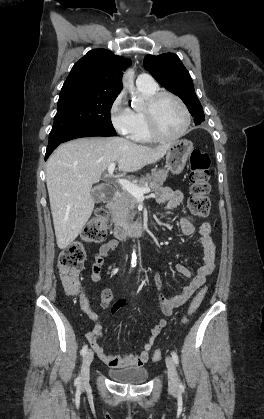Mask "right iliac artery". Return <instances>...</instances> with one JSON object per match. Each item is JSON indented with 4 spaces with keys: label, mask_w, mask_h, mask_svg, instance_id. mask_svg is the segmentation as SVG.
Here are the masks:
<instances>
[{
    "label": "right iliac artery",
    "mask_w": 264,
    "mask_h": 419,
    "mask_svg": "<svg viewBox=\"0 0 264 419\" xmlns=\"http://www.w3.org/2000/svg\"><path fill=\"white\" fill-rule=\"evenodd\" d=\"M87 350H88V346L87 345H84L83 346V348H82V350H81V355L82 356H84L86 353H87ZM75 383L77 384V385H79L80 384V377H78L77 379H76V381H75Z\"/></svg>",
    "instance_id": "1"
}]
</instances>
